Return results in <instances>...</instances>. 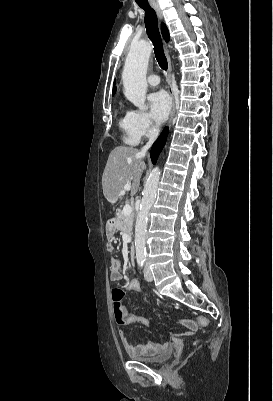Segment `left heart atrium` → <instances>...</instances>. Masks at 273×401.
Instances as JSON below:
<instances>
[{
    "mask_svg": "<svg viewBox=\"0 0 273 401\" xmlns=\"http://www.w3.org/2000/svg\"><path fill=\"white\" fill-rule=\"evenodd\" d=\"M149 114L158 124L163 123L170 112L171 104L168 97L161 92L152 93L147 98Z\"/></svg>",
    "mask_w": 273,
    "mask_h": 401,
    "instance_id": "39dd6f15",
    "label": "left heart atrium"
}]
</instances>
